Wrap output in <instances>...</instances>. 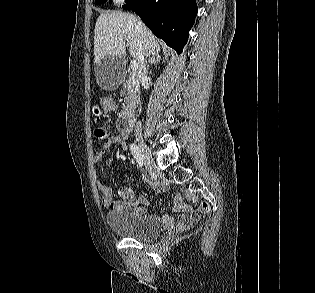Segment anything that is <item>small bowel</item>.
<instances>
[{"label": "small bowel", "instance_id": "obj_1", "mask_svg": "<svg viewBox=\"0 0 315 293\" xmlns=\"http://www.w3.org/2000/svg\"><path fill=\"white\" fill-rule=\"evenodd\" d=\"M127 138L125 133H120L115 136H110L106 143L103 145L102 149L95 156V164H99L108 149L117 143H123ZM96 187L101 193V201L103 205L113 211V210H124L130 209L138 213L144 211L143 205L148 203V199L144 196L139 197L136 201L133 192L128 187H122L119 195L122 197V201L113 200V189L110 186H106L99 178L96 179ZM152 187L157 193H162L167 189V186L160 182H152ZM172 211L178 214V218L174 219L171 215H163L162 222L172 229L183 230L185 228L193 226L198 221V214L186 203H184L180 193H176L173 198Z\"/></svg>", "mask_w": 315, "mask_h": 293}]
</instances>
